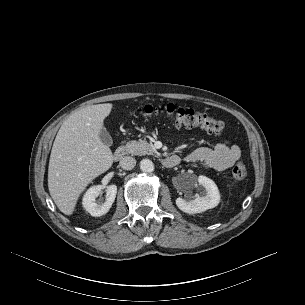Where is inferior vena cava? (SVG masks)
<instances>
[{
    "label": "inferior vena cava",
    "mask_w": 305,
    "mask_h": 305,
    "mask_svg": "<svg viewBox=\"0 0 305 305\" xmlns=\"http://www.w3.org/2000/svg\"><path fill=\"white\" fill-rule=\"evenodd\" d=\"M119 164L122 169L131 170L136 165V159L130 156H125L120 160Z\"/></svg>",
    "instance_id": "obj_1"
}]
</instances>
